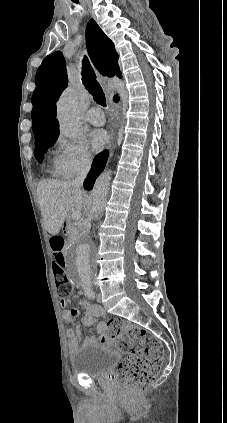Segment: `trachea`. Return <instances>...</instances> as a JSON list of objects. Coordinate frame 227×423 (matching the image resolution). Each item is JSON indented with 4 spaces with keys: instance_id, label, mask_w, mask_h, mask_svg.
<instances>
[{
    "instance_id": "1",
    "label": "trachea",
    "mask_w": 227,
    "mask_h": 423,
    "mask_svg": "<svg viewBox=\"0 0 227 423\" xmlns=\"http://www.w3.org/2000/svg\"><path fill=\"white\" fill-rule=\"evenodd\" d=\"M82 81L85 88L93 96L94 101L103 107L106 106L104 91L96 80V74L87 57L83 60Z\"/></svg>"
}]
</instances>
